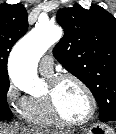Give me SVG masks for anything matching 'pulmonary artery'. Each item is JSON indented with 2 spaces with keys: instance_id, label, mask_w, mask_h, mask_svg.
Wrapping results in <instances>:
<instances>
[{
  "instance_id": "1",
  "label": "pulmonary artery",
  "mask_w": 116,
  "mask_h": 134,
  "mask_svg": "<svg viewBox=\"0 0 116 134\" xmlns=\"http://www.w3.org/2000/svg\"><path fill=\"white\" fill-rule=\"evenodd\" d=\"M54 68V59L51 55H46L42 57L39 70L43 75H51Z\"/></svg>"
}]
</instances>
